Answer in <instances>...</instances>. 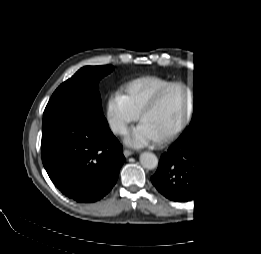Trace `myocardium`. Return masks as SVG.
Listing matches in <instances>:
<instances>
[{
    "instance_id": "myocardium-1",
    "label": "myocardium",
    "mask_w": 261,
    "mask_h": 254,
    "mask_svg": "<svg viewBox=\"0 0 261 254\" xmlns=\"http://www.w3.org/2000/svg\"><path fill=\"white\" fill-rule=\"evenodd\" d=\"M175 88H180L185 92L186 98H187L186 107H185L184 113H183L179 123L177 124V126L171 132L158 136V139L162 142H166V141L174 139L177 135H179L184 130V128L190 118V115L192 113V109H193V99L194 98H193V93L191 92V90L187 86L181 85V84L169 85L166 88H164L162 91H160L140 112V119L143 120V118L150 111H152L153 109H155L157 107V105L167 95V93Z\"/></svg>"
}]
</instances>
